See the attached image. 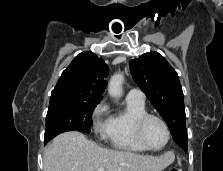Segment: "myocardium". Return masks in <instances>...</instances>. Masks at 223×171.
<instances>
[{
    "mask_svg": "<svg viewBox=\"0 0 223 171\" xmlns=\"http://www.w3.org/2000/svg\"><path fill=\"white\" fill-rule=\"evenodd\" d=\"M151 119H156L159 122H161L162 125L165 127L166 132H167V139H166L165 143L162 146H160V147H153V146H151L147 142V140L145 139V136H144L145 125ZM135 134H136V137H137L138 141L145 148H147L148 150H152V151L162 150L163 148H165L167 146V144L169 143V141L171 139V130H170V127H169L168 123L166 122V120L164 118H162L161 116H159V115L150 114V113L144 114V115H142L141 117H139L136 120V122H135Z\"/></svg>",
    "mask_w": 223,
    "mask_h": 171,
    "instance_id": "f54148a6",
    "label": "myocardium"
}]
</instances>
